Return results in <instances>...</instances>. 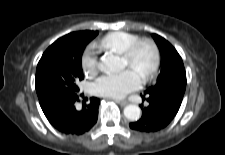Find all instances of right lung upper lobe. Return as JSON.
<instances>
[{
	"label": "right lung upper lobe",
	"mask_w": 225,
	"mask_h": 155,
	"mask_svg": "<svg viewBox=\"0 0 225 155\" xmlns=\"http://www.w3.org/2000/svg\"><path fill=\"white\" fill-rule=\"evenodd\" d=\"M98 31H81V32H73L61 37L59 40H66V41H75V40H92Z\"/></svg>",
	"instance_id": "obj_1"
}]
</instances>
